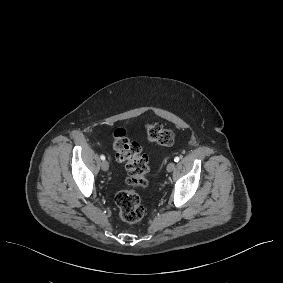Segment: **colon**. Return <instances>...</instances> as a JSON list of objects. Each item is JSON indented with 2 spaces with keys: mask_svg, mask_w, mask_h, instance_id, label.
<instances>
[{
  "mask_svg": "<svg viewBox=\"0 0 283 283\" xmlns=\"http://www.w3.org/2000/svg\"><path fill=\"white\" fill-rule=\"evenodd\" d=\"M146 134L149 141L160 146H171L175 140L174 133L157 122L146 127ZM113 149L116 158L125 163L128 185V189L116 195L115 203L124 222L137 224L142 221L145 214L137 189L145 188L148 184V157L142 153L140 145L131 141L126 131L121 128L113 132Z\"/></svg>",
  "mask_w": 283,
  "mask_h": 283,
  "instance_id": "1",
  "label": "colon"
}]
</instances>
